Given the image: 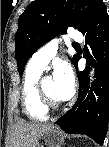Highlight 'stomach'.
<instances>
[{
	"label": "stomach",
	"instance_id": "stomach-1",
	"mask_svg": "<svg viewBox=\"0 0 109 147\" xmlns=\"http://www.w3.org/2000/svg\"><path fill=\"white\" fill-rule=\"evenodd\" d=\"M65 135L57 127L46 131L38 140L37 147H61L64 142Z\"/></svg>",
	"mask_w": 109,
	"mask_h": 147
}]
</instances>
